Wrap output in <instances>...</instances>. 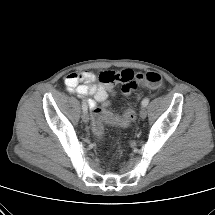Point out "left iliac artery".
Masks as SVG:
<instances>
[{"label":"left iliac artery","mask_w":215,"mask_h":215,"mask_svg":"<svg viewBox=\"0 0 215 215\" xmlns=\"http://www.w3.org/2000/svg\"><path fill=\"white\" fill-rule=\"evenodd\" d=\"M149 103V99L148 98H144L143 101H142V106L143 107H146Z\"/></svg>","instance_id":"left-iliac-artery-1"}]
</instances>
